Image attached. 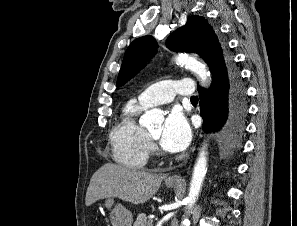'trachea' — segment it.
I'll list each match as a JSON object with an SVG mask.
<instances>
[{"mask_svg": "<svg viewBox=\"0 0 297 226\" xmlns=\"http://www.w3.org/2000/svg\"><path fill=\"white\" fill-rule=\"evenodd\" d=\"M198 101V97L197 96H192L191 97V102H197Z\"/></svg>", "mask_w": 297, "mask_h": 226, "instance_id": "1", "label": "trachea"}]
</instances>
